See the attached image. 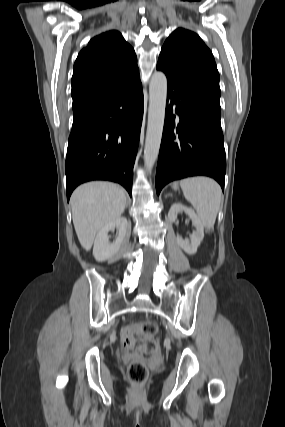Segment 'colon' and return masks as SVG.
<instances>
[{"label": "colon", "instance_id": "obj_1", "mask_svg": "<svg viewBox=\"0 0 285 427\" xmlns=\"http://www.w3.org/2000/svg\"><path fill=\"white\" fill-rule=\"evenodd\" d=\"M157 333L158 327L154 322L140 321L123 329V344L138 354H156L159 351ZM127 372L130 381L136 386L144 384L148 377L146 365L138 359L131 361Z\"/></svg>", "mask_w": 285, "mask_h": 427}]
</instances>
